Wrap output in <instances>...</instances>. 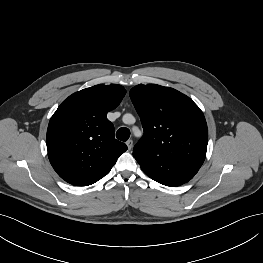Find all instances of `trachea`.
<instances>
[{
	"label": "trachea",
	"mask_w": 263,
	"mask_h": 263,
	"mask_svg": "<svg viewBox=\"0 0 263 263\" xmlns=\"http://www.w3.org/2000/svg\"><path fill=\"white\" fill-rule=\"evenodd\" d=\"M116 137L121 141H127L130 137V130L128 128L122 127L116 132Z\"/></svg>",
	"instance_id": "trachea-1"
}]
</instances>
